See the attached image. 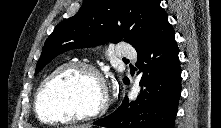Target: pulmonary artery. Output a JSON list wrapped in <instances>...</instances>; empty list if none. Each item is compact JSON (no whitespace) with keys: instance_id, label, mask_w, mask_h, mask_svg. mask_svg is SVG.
Listing matches in <instances>:
<instances>
[{"instance_id":"obj_1","label":"pulmonary artery","mask_w":221,"mask_h":128,"mask_svg":"<svg viewBox=\"0 0 221 128\" xmlns=\"http://www.w3.org/2000/svg\"><path fill=\"white\" fill-rule=\"evenodd\" d=\"M116 55L123 59L136 57L135 51L131 48H128L125 44H118L116 46Z\"/></svg>"}]
</instances>
